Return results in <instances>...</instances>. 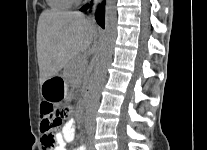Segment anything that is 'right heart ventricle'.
Wrapping results in <instances>:
<instances>
[{"mask_svg": "<svg viewBox=\"0 0 207 150\" xmlns=\"http://www.w3.org/2000/svg\"><path fill=\"white\" fill-rule=\"evenodd\" d=\"M49 7L56 11H63L70 9L75 5L77 0H46Z\"/></svg>", "mask_w": 207, "mask_h": 150, "instance_id": "obj_1", "label": "right heart ventricle"}]
</instances>
